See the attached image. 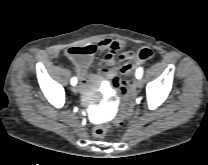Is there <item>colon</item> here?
<instances>
[{"mask_svg":"<svg viewBox=\"0 0 208 165\" xmlns=\"http://www.w3.org/2000/svg\"><path fill=\"white\" fill-rule=\"evenodd\" d=\"M67 53L68 55H83L87 53V49L84 48L83 46H76V47L69 48ZM152 56H153V53L150 49L148 48L140 49L137 55L131 56L129 61L126 64L119 67V73L121 75H126L128 77L133 76L135 72L140 70L144 62L150 60ZM121 81L123 84V87H122L123 92L121 94H124L126 92V88H129L132 85V83L130 80H121ZM116 124L118 126H123L125 124V120L118 119L116 121ZM108 131H109V128L106 125L97 126L93 130V136L96 138H102L108 133Z\"/></svg>","mask_w":208,"mask_h":165,"instance_id":"5ec220e1","label":"colon"}]
</instances>
